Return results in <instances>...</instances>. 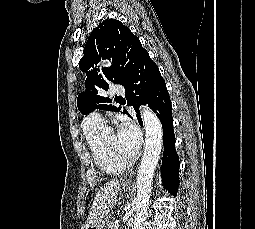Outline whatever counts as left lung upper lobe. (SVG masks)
<instances>
[{
  "label": "left lung upper lobe",
  "mask_w": 255,
  "mask_h": 229,
  "mask_svg": "<svg viewBox=\"0 0 255 229\" xmlns=\"http://www.w3.org/2000/svg\"><path fill=\"white\" fill-rule=\"evenodd\" d=\"M145 52L138 37L120 21L106 19L100 23L91 32L79 62V68L86 74V90L77 98L80 112L83 115L95 109L119 112L120 108L111 105V100L99 92L107 90L111 82L124 86ZM101 58H112L113 66L94 68Z\"/></svg>",
  "instance_id": "1"
}]
</instances>
